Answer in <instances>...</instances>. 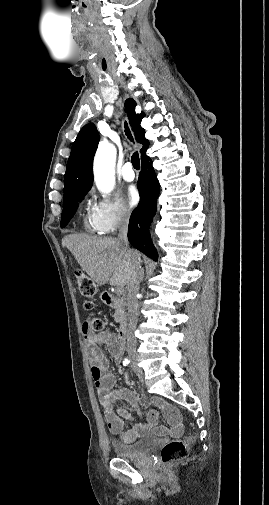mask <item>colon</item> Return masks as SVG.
<instances>
[{
	"label": "colon",
	"mask_w": 269,
	"mask_h": 505,
	"mask_svg": "<svg viewBox=\"0 0 269 505\" xmlns=\"http://www.w3.org/2000/svg\"><path fill=\"white\" fill-rule=\"evenodd\" d=\"M77 282L81 295L86 299L85 308L92 310L95 307L94 297L97 291L94 281L81 271H78ZM86 327L93 334L105 330V324L100 318H93L90 322H86ZM190 442L191 439L172 440L166 443L161 449L162 461L169 464L184 459L187 456Z\"/></svg>",
	"instance_id": "colon-1"
}]
</instances>
